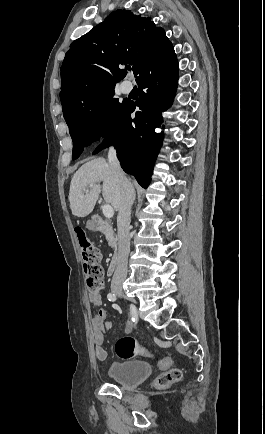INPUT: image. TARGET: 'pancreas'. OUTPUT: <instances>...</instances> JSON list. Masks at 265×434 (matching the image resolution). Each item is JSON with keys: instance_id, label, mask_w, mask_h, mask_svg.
<instances>
[{"instance_id": "1", "label": "pancreas", "mask_w": 265, "mask_h": 434, "mask_svg": "<svg viewBox=\"0 0 265 434\" xmlns=\"http://www.w3.org/2000/svg\"><path fill=\"white\" fill-rule=\"evenodd\" d=\"M106 240L108 242V246L113 248V250H117V238L114 236V232H112L110 226L107 228V232H105Z\"/></svg>"}]
</instances>
